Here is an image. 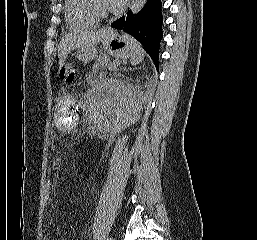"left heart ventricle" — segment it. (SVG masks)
Returning a JSON list of instances; mask_svg holds the SVG:
<instances>
[{"label": "left heart ventricle", "mask_w": 257, "mask_h": 240, "mask_svg": "<svg viewBox=\"0 0 257 240\" xmlns=\"http://www.w3.org/2000/svg\"><path fill=\"white\" fill-rule=\"evenodd\" d=\"M97 7L102 11H109L108 0H96Z\"/></svg>", "instance_id": "1"}]
</instances>
